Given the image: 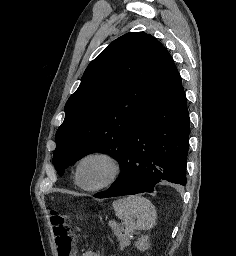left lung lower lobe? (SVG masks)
Segmentation results:
<instances>
[{
  "label": "left lung lower lobe",
  "mask_w": 236,
  "mask_h": 256,
  "mask_svg": "<svg viewBox=\"0 0 236 256\" xmlns=\"http://www.w3.org/2000/svg\"><path fill=\"white\" fill-rule=\"evenodd\" d=\"M188 146L189 114L180 84L139 119L124 150L119 177L94 197L153 192L162 180L186 185Z\"/></svg>",
  "instance_id": "left-lung-lower-lobe-1"
}]
</instances>
